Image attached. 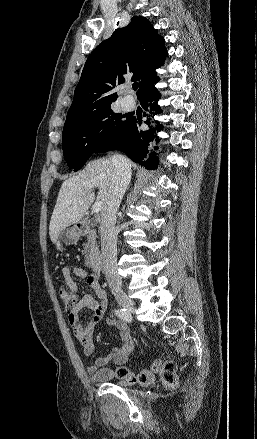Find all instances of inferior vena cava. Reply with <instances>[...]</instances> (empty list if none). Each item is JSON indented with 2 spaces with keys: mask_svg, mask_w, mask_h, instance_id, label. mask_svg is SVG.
I'll list each match as a JSON object with an SVG mask.
<instances>
[{
  "mask_svg": "<svg viewBox=\"0 0 257 439\" xmlns=\"http://www.w3.org/2000/svg\"><path fill=\"white\" fill-rule=\"evenodd\" d=\"M114 167L112 183L108 191L100 219L101 259L103 272L110 287L121 288L122 280L117 271L116 213L131 179V163L122 155L110 158Z\"/></svg>",
  "mask_w": 257,
  "mask_h": 439,
  "instance_id": "1",
  "label": "inferior vena cava"
}]
</instances>
